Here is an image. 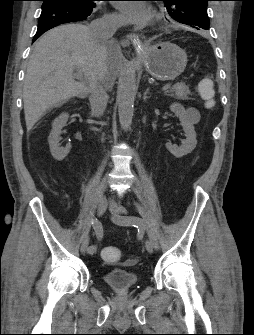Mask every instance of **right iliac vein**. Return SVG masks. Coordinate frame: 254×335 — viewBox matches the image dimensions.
Returning <instances> with one entry per match:
<instances>
[{"instance_id": "obj_1", "label": "right iliac vein", "mask_w": 254, "mask_h": 335, "mask_svg": "<svg viewBox=\"0 0 254 335\" xmlns=\"http://www.w3.org/2000/svg\"><path fill=\"white\" fill-rule=\"evenodd\" d=\"M108 201L105 197H100L97 201V213L99 216L103 215L107 209ZM88 245H89V238L83 240L80 245V252L81 254H85L88 252Z\"/></svg>"}]
</instances>
